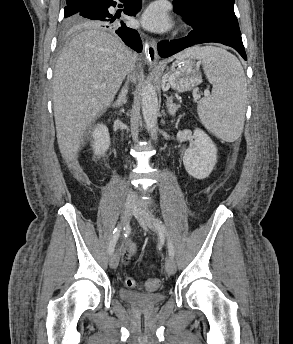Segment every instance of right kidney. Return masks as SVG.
Returning a JSON list of instances; mask_svg holds the SVG:
<instances>
[{
  "mask_svg": "<svg viewBox=\"0 0 293 344\" xmlns=\"http://www.w3.org/2000/svg\"><path fill=\"white\" fill-rule=\"evenodd\" d=\"M92 150L95 156H102L110 146V135L104 124H98L92 132Z\"/></svg>",
  "mask_w": 293,
  "mask_h": 344,
  "instance_id": "ca27d5eb",
  "label": "right kidney"
}]
</instances>
